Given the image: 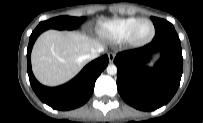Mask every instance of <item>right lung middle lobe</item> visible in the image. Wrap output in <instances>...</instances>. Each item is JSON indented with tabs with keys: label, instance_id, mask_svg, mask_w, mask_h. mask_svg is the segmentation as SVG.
I'll return each mask as SVG.
<instances>
[{
	"label": "right lung middle lobe",
	"instance_id": "1",
	"mask_svg": "<svg viewBox=\"0 0 203 123\" xmlns=\"http://www.w3.org/2000/svg\"><path fill=\"white\" fill-rule=\"evenodd\" d=\"M85 21V17H69V16H59L47 21L41 22L37 26V30L45 31L50 28L59 30H72L76 29L82 22Z\"/></svg>",
	"mask_w": 203,
	"mask_h": 123
}]
</instances>
